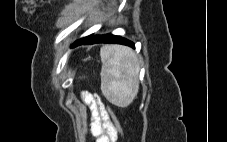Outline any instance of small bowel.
I'll use <instances>...</instances> for the list:
<instances>
[{"mask_svg":"<svg viewBox=\"0 0 227 142\" xmlns=\"http://www.w3.org/2000/svg\"><path fill=\"white\" fill-rule=\"evenodd\" d=\"M81 99L88 105L91 112L90 128L95 142H115L111 118L98 95L82 92Z\"/></svg>","mask_w":227,"mask_h":142,"instance_id":"1","label":"small bowel"}]
</instances>
